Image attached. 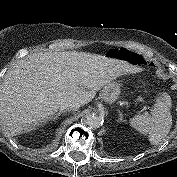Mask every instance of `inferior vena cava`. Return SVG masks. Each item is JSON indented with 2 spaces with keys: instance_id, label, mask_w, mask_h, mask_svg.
<instances>
[{
  "instance_id": "1",
  "label": "inferior vena cava",
  "mask_w": 177,
  "mask_h": 177,
  "mask_svg": "<svg viewBox=\"0 0 177 177\" xmlns=\"http://www.w3.org/2000/svg\"><path fill=\"white\" fill-rule=\"evenodd\" d=\"M80 108V103L76 102V101H69V102H65L63 104L60 105L59 109L60 111H76Z\"/></svg>"
}]
</instances>
